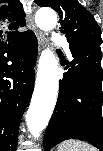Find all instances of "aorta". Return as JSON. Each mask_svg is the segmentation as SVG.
<instances>
[{"mask_svg": "<svg viewBox=\"0 0 103 151\" xmlns=\"http://www.w3.org/2000/svg\"><path fill=\"white\" fill-rule=\"evenodd\" d=\"M35 22L41 30L50 31L57 25V14L50 8H41L35 15ZM58 88V63L53 52L45 49L39 59L35 89L26 115L27 126L35 138L49 123Z\"/></svg>", "mask_w": 103, "mask_h": 151, "instance_id": "obj_1", "label": "aorta"}]
</instances>
